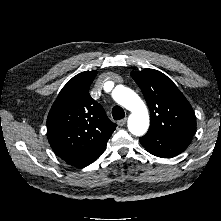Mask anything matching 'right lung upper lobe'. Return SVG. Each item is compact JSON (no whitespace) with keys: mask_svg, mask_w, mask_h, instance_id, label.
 Here are the masks:
<instances>
[{"mask_svg":"<svg viewBox=\"0 0 221 221\" xmlns=\"http://www.w3.org/2000/svg\"><path fill=\"white\" fill-rule=\"evenodd\" d=\"M96 74L97 71H85L70 79L47 118L52 149L72 166L85 167L96 160L117 126L89 94Z\"/></svg>","mask_w":221,"mask_h":221,"instance_id":"1","label":"right lung upper lobe"}]
</instances>
